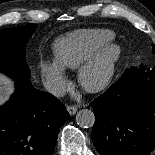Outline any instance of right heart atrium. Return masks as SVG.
<instances>
[{
	"label": "right heart atrium",
	"mask_w": 155,
	"mask_h": 155,
	"mask_svg": "<svg viewBox=\"0 0 155 155\" xmlns=\"http://www.w3.org/2000/svg\"><path fill=\"white\" fill-rule=\"evenodd\" d=\"M45 86L54 95H61L67 88L64 69L55 61L42 60L39 64Z\"/></svg>",
	"instance_id": "obj_1"
}]
</instances>
